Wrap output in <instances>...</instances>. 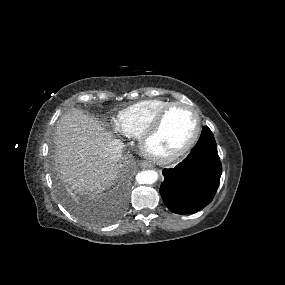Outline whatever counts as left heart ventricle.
Returning <instances> with one entry per match:
<instances>
[{"label":"left heart ventricle","mask_w":285,"mask_h":285,"mask_svg":"<svg viewBox=\"0 0 285 285\" xmlns=\"http://www.w3.org/2000/svg\"><path fill=\"white\" fill-rule=\"evenodd\" d=\"M196 127L194 114L185 107L173 108L158 133L148 142L155 155L165 156L181 148L193 135Z\"/></svg>","instance_id":"b2bd125f"}]
</instances>
